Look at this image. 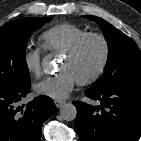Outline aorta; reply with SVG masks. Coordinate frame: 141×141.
I'll use <instances>...</instances> for the list:
<instances>
[{
  "mask_svg": "<svg viewBox=\"0 0 141 141\" xmlns=\"http://www.w3.org/2000/svg\"><path fill=\"white\" fill-rule=\"evenodd\" d=\"M42 67L46 72H50L53 69L50 56H45L43 58ZM76 115L77 109L71 103H66L60 108V116L63 120L72 121L76 118Z\"/></svg>",
  "mask_w": 141,
  "mask_h": 141,
  "instance_id": "762f6f07",
  "label": "aorta"
}]
</instances>
